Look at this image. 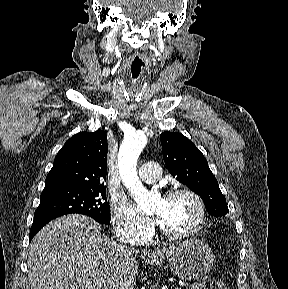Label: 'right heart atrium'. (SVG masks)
<instances>
[{"mask_svg":"<svg viewBox=\"0 0 288 289\" xmlns=\"http://www.w3.org/2000/svg\"><path fill=\"white\" fill-rule=\"evenodd\" d=\"M111 222L116 237L130 244H142L152 235V223L123 200L113 202Z\"/></svg>","mask_w":288,"mask_h":289,"instance_id":"1","label":"right heart atrium"}]
</instances>
